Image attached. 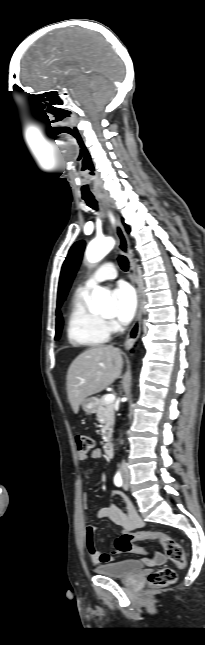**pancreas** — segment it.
Here are the masks:
<instances>
[{"mask_svg": "<svg viewBox=\"0 0 205 645\" xmlns=\"http://www.w3.org/2000/svg\"><path fill=\"white\" fill-rule=\"evenodd\" d=\"M105 396H102L99 400L98 407L96 410L97 421L102 425V439L104 442H109L114 425V403H108L104 400Z\"/></svg>", "mask_w": 205, "mask_h": 645, "instance_id": "cf45deb5", "label": "pancreas"}]
</instances>
